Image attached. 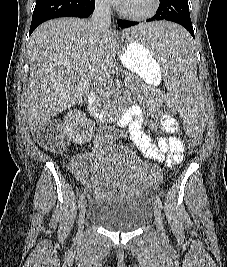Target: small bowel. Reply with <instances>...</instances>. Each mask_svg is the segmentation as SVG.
Instances as JSON below:
<instances>
[{"label": "small bowel", "instance_id": "obj_1", "mask_svg": "<svg viewBox=\"0 0 227 267\" xmlns=\"http://www.w3.org/2000/svg\"><path fill=\"white\" fill-rule=\"evenodd\" d=\"M158 114V108L155 104H148L147 111L141 109H132L122 115L117 125L128 130L129 137L139 152L147 159L163 163L167 168L172 169L182 162L184 158V140L178 135L180 126L173 116L162 115L159 128L167 133L154 140L149 134L144 132L143 124L146 115ZM71 171L84 183L89 182L90 176L98 172L90 170L86 162L77 157L71 165ZM89 189L95 194L108 193L117 195L116 190L109 185L98 183L89 184Z\"/></svg>", "mask_w": 227, "mask_h": 267}]
</instances>
